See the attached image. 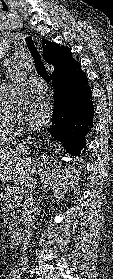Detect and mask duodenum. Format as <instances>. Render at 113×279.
<instances>
[{
  "mask_svg": "<svg viewBox=\"0 0 113 279\" xmlns=\"http://www.w3.org/2000/svg\"><path fill=\"white\" fill-rule=\"evenodd\" d=\"M20 234H21V227L15 226L10 233V244L16 248L19 244L20 240Z\"/></svg>",
  "mask_w": 113,
  "mask_h": 279,
  "instance_id": "obj_1",
  "label": "duodenum"
}]
</instances>
